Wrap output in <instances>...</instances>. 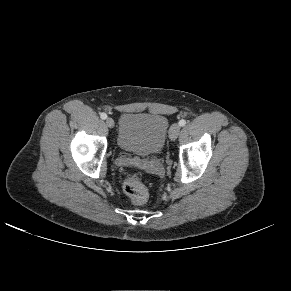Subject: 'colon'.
<instances>
[{"instance_id": "1", "label": "colon", "mask_w": 291, "mask_h": 291, "mask_svg": "<svg viewBox=\"0 0 291 291\" xmlns=\"http://www.w3.org/2000/svg\"><path fill=\"white\" fill-rule=\"evenodd\" d=\"M123 190L135 204L145 203L149 196L147 185L136 175H130L124 179Z\"/></svg>"}]
</instances>
